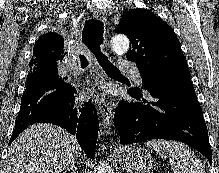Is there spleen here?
Returning <instances> with one entry per match:
<instances>
[{
    "instance_id": "1",
    "label": "spleen",
    "mask_w": 219,
    "mask_h": 173,
    "mask_svg": "<svg viewBox=\"0 0 219 173\" xmlns=\"http://www.w3.org/2000/svg\"><path fill=\"white\" fill-rule=\"evenodd\" d=\"M146 145L153 148L161 158H169L174 173H205L200 160L180 142L153 139L147 141Z\"/></svg>"
}]
</instances>
